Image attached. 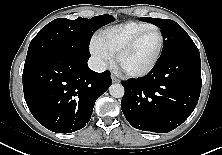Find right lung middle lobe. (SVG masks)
I'll return each instance as SVG.
<instances>
[{"label":"right lung middle lobe","instance_id":"1","mask_svg":"<svg viewBox=\"0 0 222 155\" xmlns=\"http://www.w3.org/2000/svg\"><path fill=\"white\" fill-rule=\"evenodd\" d=\"M112 21L114 18L111 15H100L91 19L69 20L63 18L53 20L32 39L25 65L55 53L90 56L89 43L93 33Z\"/></svg>","mask_w":222,"mask_h":155}]
</instances>
